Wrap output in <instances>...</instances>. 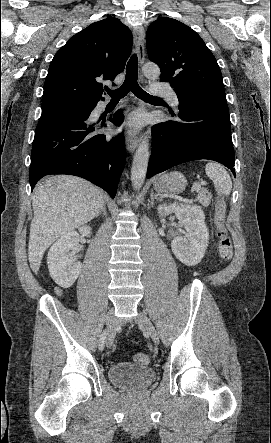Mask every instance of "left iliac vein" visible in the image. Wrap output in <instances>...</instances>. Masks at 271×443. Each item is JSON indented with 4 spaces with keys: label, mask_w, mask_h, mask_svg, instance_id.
Listing matches in <instances>:
<instances>
[{
    "label": "left iliac vein",
    "mask_w": 271,
    "mask_h": 443,
    "mask_svg": "<svg viewBox=\"0 0 271 443\" xmlns=\"http://www.w3.org/2000/svg\"><path fill=\"white\" fill-rule=\"evenodd\" d=\"M138 323L150 335L151 339L156 344H158L159 343L158 333H157L155 327L153 326L152 322L142 312H140L138 315Z\"/></svg>",
    "instance_id": "1"
}]
</instances>
